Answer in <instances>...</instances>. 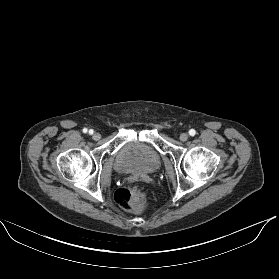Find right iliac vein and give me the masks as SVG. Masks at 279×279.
<instances>
[{
	"mask_svg": "<svg viewBox=\"0 0 279 279\" xmlns=\"http://www.w3.org/2000/svg\"><path fill=\"white\" fill-rule=\"evenodd\" d=\"M92 137H93L94 140L97 141V140H99L101 138V135L98 132H96V133L93 134Z\"/></svg>",
	"mask_w": 279,
	"mask_h": 279,
	"instance_id": "right-iliac-vein-1",
	"label": "right iliac vein"
}]
</instances>
